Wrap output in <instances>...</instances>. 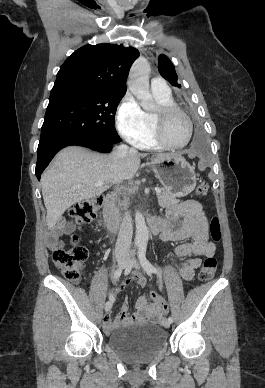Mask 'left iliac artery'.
Listing matches in <instances>:
<instances>
[{"instance_id": "44dca946", "label": "left iliac artery", "mask_w": 265, "mask_h": 388, "mask_svg": "<svg viewBox=\"0 0 265 388\" xmlns=\"http://www.w3.org/2000/svg\"><path fill=\"white\" fill-rule=\"evenodd\" d=\"M139 260L141 265L143 266L144 270L147 273H155L157 276L161 277L160 270L156 268L154 265H152L149 260L146 258V245H140L139 246ZM162 287V285H161ZM168 320L172 323L173 318L171 316L168 317Z\"/></svg>"}]
</instances>
